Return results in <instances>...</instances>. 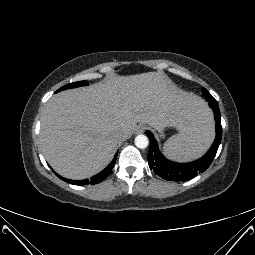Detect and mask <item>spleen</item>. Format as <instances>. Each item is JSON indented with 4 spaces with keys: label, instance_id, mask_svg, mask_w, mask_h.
<instances>
[{
    "label": "spleen",
    "instance_id": "1",
    "mask_svg": "<svg viewBox=\"0 0 255 255\" xmlns=\"http://www.w3.org/2000/svg\"><path fill=\"white\" fill-rule=\"evenodd\" d=\"M214 139L212 113L205 107H199L197 118L185 130L169 138L164 153L177 161H188L201 156Z\"/></svg>",
    "mask_w": 255,
    "mask_h": 255
}]
</instances>
